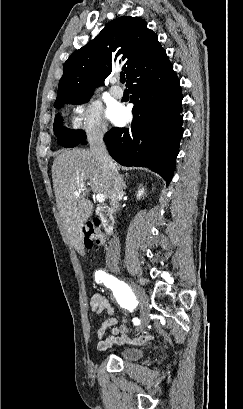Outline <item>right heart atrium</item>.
Returning a JSON list of instances; mask_svg holds the SVG:
<instances>
[{
	"instance_id": "1",
	"label": "right heart atrium",
	"mask_w": 243,
	"mask_h": 409,
	"mask_svg": "<svg viewBox=\"0 0 243 409\" xmlns=\"http://www.w3.org/2000/svg\"><path fill=\"white\" fill-rule=\"evenodd\" d=\"M71 127L89 138H102L108 131L100 105L92 100H82L71 107Z\"/></svg>"
}]
</instances>
